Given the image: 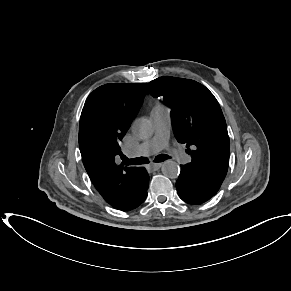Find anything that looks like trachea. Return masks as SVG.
I'll list each match as a JSON object with an SVG mask.
<instances>
[{"instance_id": "obj_1", "label": "trachea", "mask_w": 291, "mask_h": 291, "mask_svg": "<svg viewBox=\"0 0 291 291\" xmlns=\"http://www.w3.org/2000/svg\"><path fill=\"white\" fill-rule=\"evenodd\" d=\"M170 157L168 155L165 154H161L155 157V162H163L167 159H169ZM123 160V164L124 165H135V164H145L148 163V159L144 158V157H138V158H133V159H128L127 157L123 156L122 157Z\"/></svg>"}]
</instances>
